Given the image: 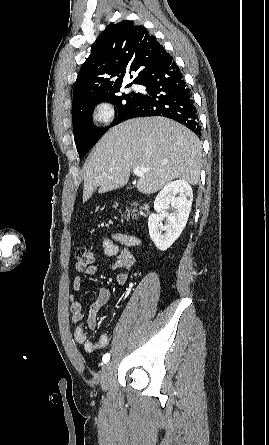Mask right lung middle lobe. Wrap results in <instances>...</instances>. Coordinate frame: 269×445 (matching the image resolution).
<instances>
[{"label":"right lung middle lobe","instance_id":"right-lung-middle-lobe-1","mask_svg":"<svg viewBox=\"0 0 269 445\" xmlns=\"http://www.w3.org/2000/svg\"><path fill=\"white\" fill-rule=\"evenodd\" d=\"M128 84L126 87H130ZM120 89V88H119ZM119 89L95 96L72 108L73 132L79 157L82 158L104 135L108 128H97L91 122L92 110L100 102H110L118 108V117L111 126L124 121L130 114L140 93L119 94Z\"/></svg>","mask_w":269,"mask_h":445}]
</instances>
